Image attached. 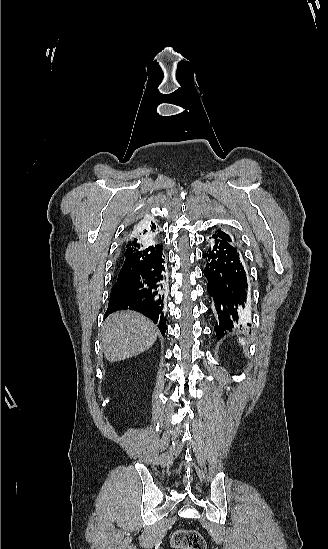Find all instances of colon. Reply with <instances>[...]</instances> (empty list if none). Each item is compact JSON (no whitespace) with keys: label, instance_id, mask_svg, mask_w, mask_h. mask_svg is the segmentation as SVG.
I'll return each instance as SVG.
<instances>
[{"label":"colon","instance_id":"obj_1","mask_svg":"<svg viewBox=\"0 0 328 549\" xmlns=\"http://www.w3.org/2000/svg\"><path fill=\"white\" fill-rule=\"evenodd\" d=\"M171 545L176 549H205L203 536L196 530L179 529L171 537Z\"/></svg>","mask_w":328,"mask_h":549}]
</instances>
